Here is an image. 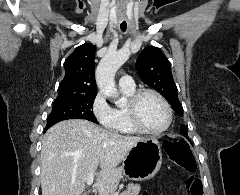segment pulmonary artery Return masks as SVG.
Returning <instances> with one entry per match:
<instances>
[{"label": "pulmonary artery", "instance_id": "pulmonary-artery-1", "mask_svg": "<svg viewBox=\"0 0 240 195\" xmlns=\"http://www.w3.org/2000/svg\"><path fill=\"white\" fill-rule=\"evenodd\" d=\"M120 85H125V86H133L134 82L130 78V75H123V78L120 79L119 81Z\"/></svg>", "mask_w": 240, "mask_h": 195}]
</instances>
